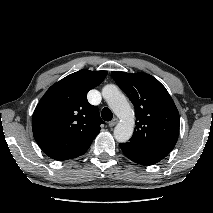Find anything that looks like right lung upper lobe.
I'll return each mask as SVG.
<instances>
[{"label": "right lung upper lobe", "instance_id": "cb5924a9", "mask_svg": "<svg viewBox=\"0 0 213 213\" xmlns=\"http://www.w3.org/2000/svg\"><path fill=\"white\" fill-rule=\"evenodd\" d=\"M107 71L80 70L52 85L32 118L33 135L46 155L66 160L84 154L104 123L97 106L87 100Z\"/></svg>", "mask_w": 213, "mask_h": 213}]
</instances>
